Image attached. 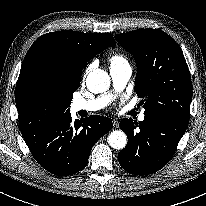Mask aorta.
Listing matches in <instances>:
<instances>
[{"instance_id": "762f6f07", "label": "aorta", "mask_w": 206, "mask_h": 206, "mask_svg": "<svg viewBox=\"0 0 206 206\" xmlns=\"http://www.w3.org/2000/svg\"><path fill=\"white\" fill-rule=\"evenodd\" d=\"M86 85L92 93H101L109 88L110 77L104 70L94 69L88 74ZM108 143L114 149H123L127 144L126 134L119 130L113 131L108 136Z\"/></svg>"}]
</instances>
